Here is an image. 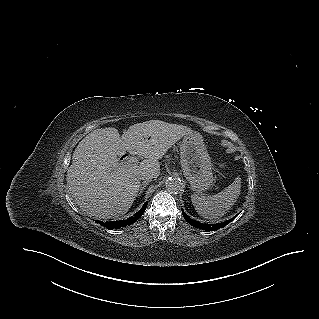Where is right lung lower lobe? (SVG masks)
<instances>
[{"label": "right lung lower lobe", "instance_id": "1", "mask_svg": "<svg viewBox=\"0 0 319 319\" xmlns=\"http://www.w3.org/2000/svg\"><path fill=\"white\" fill-rule=\"evenodd\" d=\"M147 204H148V202H146L142 206V208L136 214H134V216H131L130 218H128L126 220L111 221V222H103V221H96V222L99 223L101 226H104V227L110 228V229H118L121 227L131 225L134 222H136L143 215Z\"/></svg>", "mask_w": 319, "mask_h": 319}]
</instances>
